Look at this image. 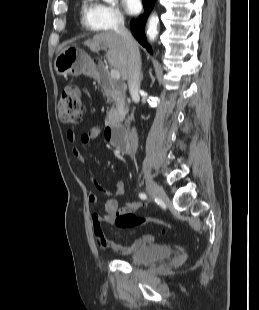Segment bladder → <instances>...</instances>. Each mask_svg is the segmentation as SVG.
Returning a JSON list of instances; mask_svg holds the SVG:
<instances>
[{
	"instance_id": "31cf9c89",
	"label": "bladder",
	"mask_w": 259,
	"mask_h": 310,
	"mask_svg": "<svg viewBox=\"0 0 259 310\" xmlns=\"http://www.w3.org/2000/svg\"><path fill=\"white\" fill-rule=\"evenodd\" d=\"M172 252V248L167 245L147 244L132 253L126 261L135 266L147 265L170 258Z\"/></svg>"
}]
</instances>
